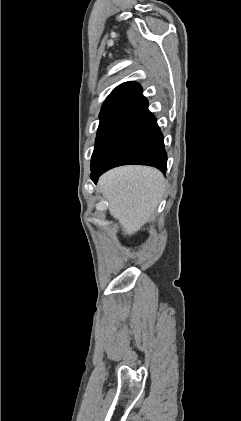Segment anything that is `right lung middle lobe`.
<instances>
[{"instance_id": "obj_1", "label": "right lung middle lobe", "mask_w": 241, "mask_h": 421, "mask_svg": "<svg viewBox=\"0 0 241 421\" xmlns=\"http://www.w3.org/2000/svg\"><path fill=\"white\" fill-rule=\"evenodd\" d=\"M132 105L116 106L101 110L96 144L91 160L93 167L119 132L131 111Z\"/></svg>"}]
</instances>
